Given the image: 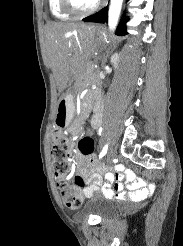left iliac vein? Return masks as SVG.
Returning <instances> with one entry per match:
<instances>
[{"mask_svg": "<svg viewBox=\"0 0 183 246\" xmlns=\"http://www.w3.org/2000/svg\"><path fill=\"white\" fill-rule=\"evenodd\" d=\"M116 155H117L116 148H114V147L110 148V150L108 151V154H107V162L111 163L113 161V159L116 157Z\"/></svg>", "mask_w": 183, "mask_h": 246, "instance_id": "left-iliac-vein-1", "label": "left iliac vein"}]
</instances>
